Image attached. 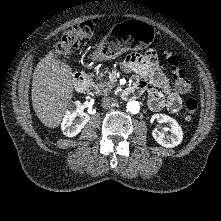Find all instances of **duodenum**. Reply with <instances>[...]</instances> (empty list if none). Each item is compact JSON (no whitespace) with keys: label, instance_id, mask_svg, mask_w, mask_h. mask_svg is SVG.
Masks as SVG:
<instances>
[{"label":"duodenum","instance_id":"duodenum-1","mask_svg":"<svg viewBox=\"0 0 221 221\" xmlns=\"http://www.w3.org/2000/svg\"><path fill=\"white\" fill-rule=\"evenodd\" d=\"M73 85L75 89L79 92H86L89 89V82L87 77L82 72H76L73 74ZM141 92L139 88L134 84L126 88L124 91V96L126 98H133L140 96Z\"/></svg>","mask_w":221,"mask_h":221}]
</instances>
